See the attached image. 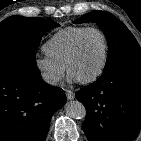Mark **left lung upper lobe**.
<instances>
[{
	"mask_svg": "<svg viewBox=\"0 0 141 141\" xmlns=\"http://www.w3.org/2000/svg\"><path fill=\"white\" fill-rule=\"evenodd\" d=\"M96 22L104 31L108 42L107 66L102 76L124 67L141 66V49L128 28L112 14L105 11H93L85 14L74 23Z\"/></svg>",
	"mask_w": 141,
	"mask_h": 141,
	"instance_id": "obj_1",
	"label": "left lung upper lobe"
}]
</instances>
